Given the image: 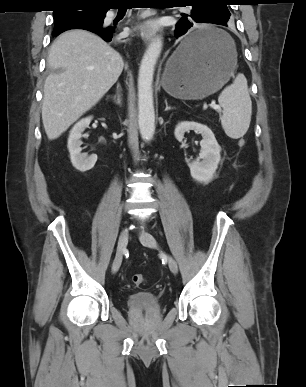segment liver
Segmentation results:
<instances>
[{"instance_id": "6515ba94", "label": "liver", "mask_w": 306, "mask_h": 387, "mask_svg": "<svg viewBox=\"0 0 306 387\" xmlns=\"http://www.w3.org/2000/svg\"><path fill=\"white\" fill-rule=\"evenodd\" d=\"M47 62L57 72L45 80L42 121L48 139L54 140L101 100L124 62L98 35L79 29L52 43Z\"/></svg>"}]
</instances>
